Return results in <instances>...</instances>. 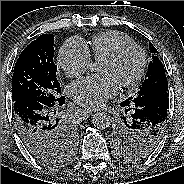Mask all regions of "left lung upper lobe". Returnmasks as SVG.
Wrapping results in <instances>:
<instances>
[{
    "instance_id": "5c2ea615",
    "label": "left lung upper lobe",
    "mask_w": 184,
    "mask_h": 184,
    "mask_svg": "<svg viewBox=\"0 0 184 184\" xmlns=\"http://www.w3.org/2000/svg\"><path fill=\"white\" fill-rule=\"evenodd\" d=\"M149 49L153 54L158 53L151 42L149 43ZM156 90L168 91V81L162 62L158 57H156V55H154L152 56V61L148 66L145 80L140 85L138 92L135 96H131L123 102H131L136 97H140L146 93ZM127 111H130V109L125 111L126 114ZM152 129V127H149L148 129L143 130L137 127L134 125L132 116L129 114L118 119L111 129L110 135L119 156L125 160H139L148 156L157 146L154 136L150 133V130ZM151 142L156 144L152 151L141 153L136 152V148L139 144Z\"/></svg>"
}]
</instances>
